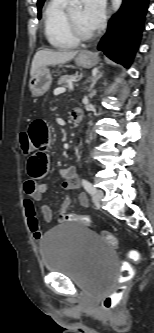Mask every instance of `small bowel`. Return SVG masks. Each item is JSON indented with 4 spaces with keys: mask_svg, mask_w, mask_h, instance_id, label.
I'll use <instances>...</instances> for the list:
<instances>
[{
    "mask_svg": "<svg viewBox=\"0 0 154 333\" xmlns=\"http://www.w3.org/2000/svg\"><path fill=\"white\" fill-rule=\"evenodd\" d=\"M28 136L32 146V153L28 158L27 170L29 179L24 183V192L28 196L25 200V213L28 221V226L35 240L42 238L40 231L39 221L37 219L36 211L33 202L40 203V213L44 221L50 222L52 220L51 208L42 203L43 195L47 190L46 184L41 180L47 175L49 171V157L48 150L51 146L52 136L48 124L40 119L34 120L28 129ZM57 174L63 179V188L68 191H73L79 187L76 173L73 167L59 168ZM81 206L87 207L89 205L88 198L85 194L81 193L78 196ZM71 204L70 197H67L60 210V215L65 216Z\"/></svg>",
    "mask_w": 154,
    "mask_h": 333,
    "instance_id": "obj_1",
    "label": "small bowel"
}]
</instances>
